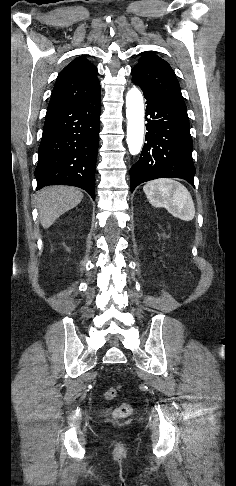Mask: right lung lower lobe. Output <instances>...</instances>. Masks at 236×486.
I'll return each instance as SVG.
<instances>
[{"label":"right lung lower lobe","mask_w":236,"mask_h":486,"mask_svg":"<svg viewBox=\"0 0 236 486\" xmlns=\"http://www.w3.org/2000/svg\"><path fill=\"white\" fill-rule=\"evenodd\" d=\"M100 95L48 109L35 169L37 190L63 184L86 190L95 200Z\"/></svg>","instance_id":"right-lung-lower-lobe-1"}]
</instances>
